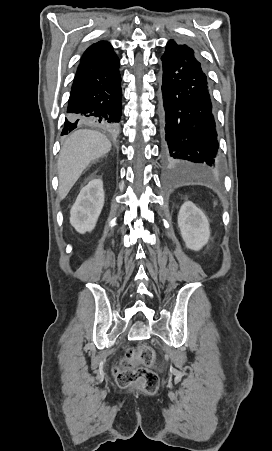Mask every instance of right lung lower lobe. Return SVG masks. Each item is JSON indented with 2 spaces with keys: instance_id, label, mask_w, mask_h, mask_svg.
Returning <instances> with one entry per match:
<instances>
[{
  "instance_id": "98d812e1",
  "label": "right lung lower lobe",
  "mask_w": 272,
  "mask_h": 451,
  "mask_svg": "<svg viewBox=\"0 0 272 451\" xmlns=\"http://www.w3.org/2000/svg\"><path fill=\"white\" fill-rule=\"evenodd\" d=\"M119 58L115 52L80 62L67 106L62 135L78 125H94L116 133L122 115Z\"/></svg>"
}]
</instances>
